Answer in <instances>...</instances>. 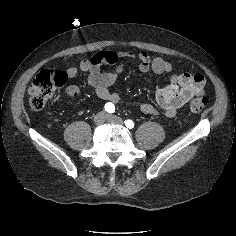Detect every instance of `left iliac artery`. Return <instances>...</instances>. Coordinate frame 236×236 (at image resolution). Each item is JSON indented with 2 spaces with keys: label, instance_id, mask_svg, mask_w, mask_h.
Wrapping results in <instances>:
<instances>
[{
  "label": "left iliac artery",
  "instance_id": "44dca946",
  "mask_svg": "<svg viewBox=\"0 0 236 236\" xmlns=\"http://www.w3.org/2000/svg\"><path fill=\"white\" fill-rule=\"evenodd\" d=\"M126 127L132 129L134 127V122L130 119L125 120Z\"/></svg>",
  "mask_w": 236,
  "mask_h": 236
}]
</instances>
